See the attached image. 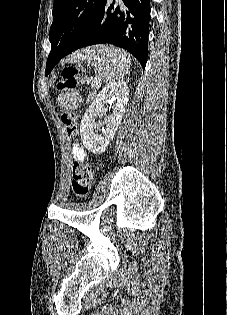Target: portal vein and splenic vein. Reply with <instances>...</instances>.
Instances as JSON below:
<instances>
[{"instance_id": "portal-vein-and-splenic-vein-1", "label": "portal vein and splenic vein", "mask_w": 227, "mask_h": 315, "mask_svg": "<svg viewBox=\"0 0 227 315\" xmlns=\"http://www.w3.org/2000/svg\"><path fill=\"white\" fill-rule=\"evenodd\" d=\"M92 84H95V85H99V80L95 79L94 81H92Z\"/></svg>"}]
</instances>
